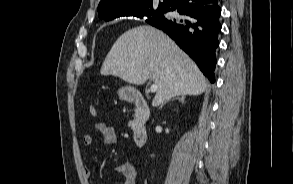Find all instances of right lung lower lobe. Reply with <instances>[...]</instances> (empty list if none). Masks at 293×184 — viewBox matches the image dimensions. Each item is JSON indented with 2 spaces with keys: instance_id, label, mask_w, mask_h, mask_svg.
Returning <instances> with one entry per match:
<instances>
[{
  "instance_id": "1",
  "label": "right lung lower lobe",
  "mask_w": 293,
  "mask_h": 184,
  "mask_svg": "<svg viewBox=\"0 0 293 184\" xmlns=\"http://www.w3.org/2000/svg\"><path fill=\"white\" fill-rule=\"evenodd\" d=\"M166 12H176L180 17L166 19ZM164 13L161 19L147 22L175 40L204 75L214 82L215 50L221 30V8L217 0H170Z\"/></svg>"
}]
</instances>
